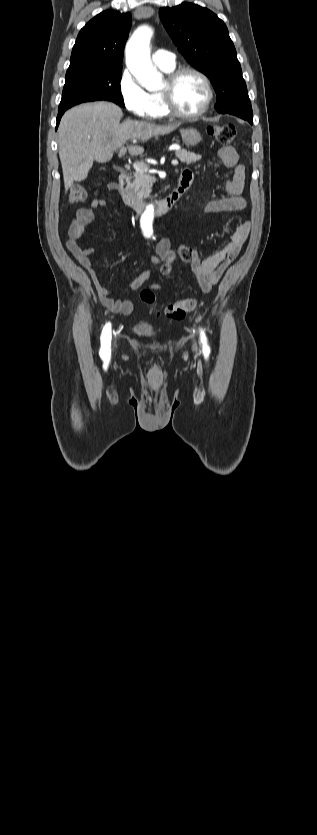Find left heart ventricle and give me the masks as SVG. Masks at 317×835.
<instances>
[{
	"label": "left heart ventricle",
	"mask_w": 317,
	"mask_h": 835,
	"mask_svg": "<svg viewBox=\"0 0 317 835\" xmlns=\"http://www.w3.org/2000/svg\"><path fill=\"white\" fill-rule=\"evenodd\" d=\"M166 86L164 84L163 89ZM207 96L203 81L194 74L182 76L176 84L174 98L178 108L184 113L198 111Z\"/></svg>",
	"instance_id": "b2bd125f"
}]
</instances>
